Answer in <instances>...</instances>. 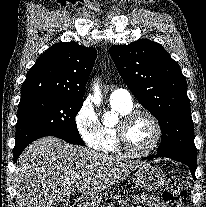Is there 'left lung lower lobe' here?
Listing matches in <instances>:
<instances>
[{"label": "left lung lower lobe", "mask_w": 206, "mask_h": 207, "mask_svg": "<svg viewBox=\"0 0 206 207\" xmlns=\"http://www.w3.org/2000/svg\"><path fill=\"white\" fill-rule=\"evenodd\" d=\"M163 157H168L173 160H176V161H179V162L186 164L190 168L193 178L196 180V178H195V171H196V165H197L196 158H188V157L175 156V155H163Z\"/></svg>", "instance_id": "1"}]
</instances>
